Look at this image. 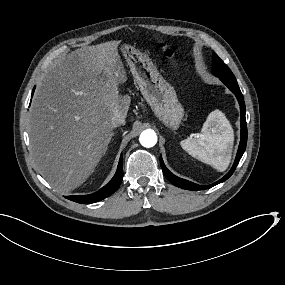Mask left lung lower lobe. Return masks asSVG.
Instances as JSON below:
<instances>
[{"label":"left lung lower lobe","instance_id":"left-lung-lower-lobe-1","mask_svg":"<svg viewBox=\"0 0 285 285\" xmlns=\"http://www.w3.org/2000/svg\"><path fill=\"white\" fill-rule=\"evenodd\" d=\"M237 97L238 101H239V105H240V110H241V141H240V145H239V149L237 152V156L235 159V162L231 168V170L220 180H218L217 182L210 184V185H198L195 184L193 182H190L188 180L179 178L177 176H175L173 173H171L166 166L164 165V162L162 160V157L160 156V165L163 171V174L165 175V177L175 186L183 188V189H187V190H204V189H209L219 183H222L224 181H226L235 171L244 151L246 148V144H247V124H246V119H245V113H246V108H245V103H244V98L243 95L240 91V88L238 86V83L236 81V79H224L221 80Z\"/></svg>","mask_w":285,"mask_h":285}]
</instances>
